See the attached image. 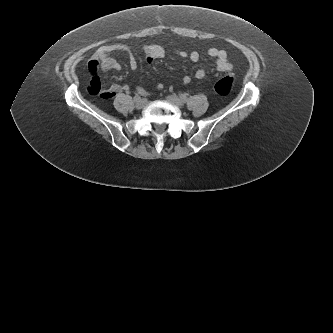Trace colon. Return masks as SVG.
Segmentation results:
<instances>
[{
	"instance_id": "colon-1",
	"label": "colon",
	"mask_w": 333,
	"mask_h": 333,
	"mask_svg": "<svg viewBox=\"0 0 333 333\" xmlns=\"http://www.w3.org/2000/svg\"><path fill=\"white\" fill-rule=\"evenodd\" d=\"M233 86L234 78L231 75H226L215 83L214 90L220 96H227L231 93Z\"/></svg>"
}]
</instances>
